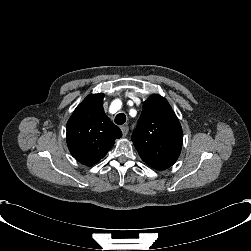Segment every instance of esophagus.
<instances>
[{
  "label": "esophagus",
  "instance_id": "obj_1",
  "mask_svg": "<svg viewBox=\"0 0 251 251\" xmlns=\"http://www.w3.org/2000/svg\"><path fill=\"white\" fill-rule=\"evenodd\" d=\"M120 129L122 131L123 136L125 137L127 135V133H128V130H129L128 126L123 125V126L120 127Z\"/></svg>",
  "mask_w": 251,
  "mask_h": 251
}]
</instances>
